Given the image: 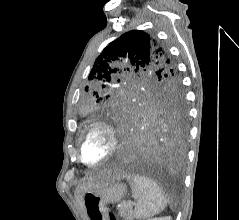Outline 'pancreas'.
I'll return each instance as SVG.
<instances>
[{
  "instance_id": "pancreas-1",
  "label": "pancreas",
  "mask_w": 239,
  "mask_h": 220,
  "mask_svg": "<svg viewBox=\"0 0 239 220\" xmlns=\"http://www.w3.org/2000/svg\"><path fill=\"white\" fill-rule=\"evenodd\" d=\"M132 213V207L130 205L123 204L119 207V215L125 220H133Z\"/></svg>"
}]
</instances>
